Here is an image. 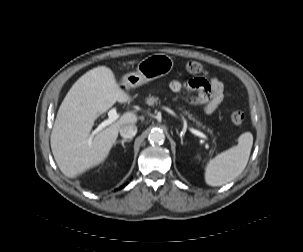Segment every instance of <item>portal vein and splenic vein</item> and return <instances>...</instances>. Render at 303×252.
I'll return each instance as SVG.
<instances>
[{"label": "portal vein and splenic vein", "instance_id": "obj_1", "mask_svg": "<svg viewBox=\"0 0 303 252\" xmlns=\"http://www.w3.org/2000/svg\"><path fill=\"white\" fill-rule=\"evenodd\" d=\"M167 112H169L172 115H176L171 109H169L168 107H163ZM119 118V114L116 111V108H112L111 110H109L108 112V119L104 120L101 124L98 125L97 129L92 132L91 136H94L95 134H97L99 131H101L102 129H104L105 127L109 126L110 124H112L114 121H116ZM192 133L204 138V139H208V137L201 131H198L196 129H191Z\"/></svg>", "mask_w": 303, "mask_h": 252}]
</instances>
